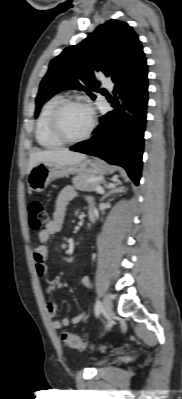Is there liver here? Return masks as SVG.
<instances>
[{
  "label": "liver",
  "instance_id": "obj_1",
  "mask_svg": "<svg viewBox=\"0 0 182 399\" xmlns=\"http://www.w3.org/2000/svg\"><path fill=\"white\" fill-rule=\"evenodd\" d=\"M86 159V155L78 152H72L68 149L37 151L30 155L27 173L38 163L55 162L64 165H75Z\"/></svg>",
  "mask_w": 182,
  "mask_h": 399
}]
</instances>
